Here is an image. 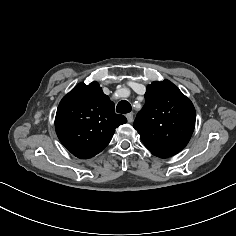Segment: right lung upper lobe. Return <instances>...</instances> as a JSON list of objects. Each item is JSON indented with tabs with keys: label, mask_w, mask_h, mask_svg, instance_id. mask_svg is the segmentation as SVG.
I'll list each match as a JSON object with an SVG mask.
<instances>
[{
	"label": "right lung upper lobe",
	"mask_w": 236,
	"mask_h": 236,
	"mask_svg": "<svg viewBox=\"0 0 236 236\" xmlns=\"http://www.w3.org/2000/svg\"><path fill=\"white\" fill-rule=\"evenodd\" d=\"M127 119L114 112V103L97 82L80 83L60 102L55 129L61 143L80 159L100 153L115 129Z\"/></svg>",
	"instance_id": "1"
}]
</instances>
